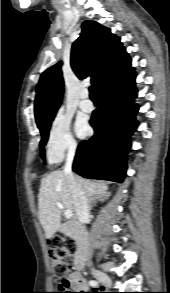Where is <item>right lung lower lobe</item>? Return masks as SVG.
<instances>
[{
  "instance_id": "obj_1",
  "label": "right lung lower lobe",
  "mask_w": 170,
  "mask_h": 293,
  "mask_svg": "<svg viewBox=\"0 0 170 293\" xmlns=\"http://www.w3.org/2000/svg\"><path fill=\"white\" fill-rule=\"evenodd\" d=\"M135 77L134 69L130 68L98 89L100 107L90 120L95 134L77 148L73 164L77 174L119 183L124 180L130 136L138 126Z\"/></svg>"
}]
</instances>
